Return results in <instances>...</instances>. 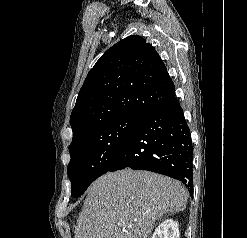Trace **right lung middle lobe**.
<instances>
[{
  "instance_id": "obj_1",
  "label": "right lung middle lobe",
  "mask_w": 247,
  "mask_h": 238,
  "mask_svg": "<svg viewBox=\"0 0 247 238\" xmlns=\"http://www.w3.org/2000/svg\"><path fill=\"white\" fill-rule=\"evenodd\" d=\"M143 116L126 115L99 125L69 146L71 156L67 173L71 196L78 197L99 176L108 171Z\"/></svg>"
}]
</instances>
